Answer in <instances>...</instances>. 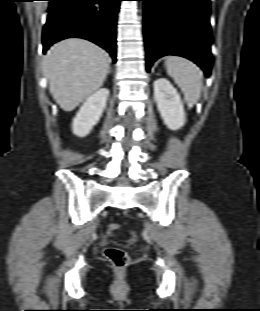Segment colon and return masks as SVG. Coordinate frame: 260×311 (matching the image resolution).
<instances>
[{"label":"colon","instance_id":"5ec220e1","mask_svg":"<svg viewBox=\"0 0 260 311\" xmlns=\"http://www.w3.org/2000/svg\"><path fill=\"white\" fill-rule=\"evenodd\" d=\"M118 224H110L108 226V234L113 235L116 231L119 230ZM105 258L109 261L111 265L117 268H123L128 264L129 258L128 254L120 248L109 247L104 251Z\"/></svg>","mask_w":260,"mask_h":311}]
</instances>
